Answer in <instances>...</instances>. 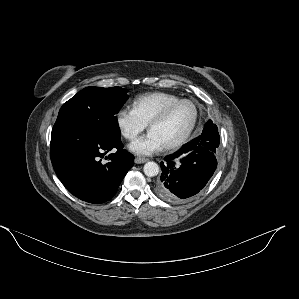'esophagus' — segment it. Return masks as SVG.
Masks as SVG:
<instances>
[{
  "label": "esophagus",
  "instance_id": "34e87169",
  "mask_svg": "<svg viewBox=\"0 0 299 299\" xmlns=\"http://www.w3.org/2000/svg\"><path fill=\"white\" fill-rule=\"evenodd\" d=\"M134 161H135L136 164H142V163L147 162L148 159L147 158L136 157Z\"/></svg>",
  "mask_w": 299,
  "mask_h": 299
}]
</instances>
